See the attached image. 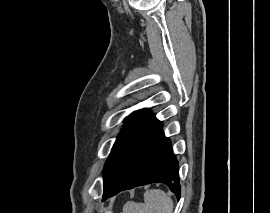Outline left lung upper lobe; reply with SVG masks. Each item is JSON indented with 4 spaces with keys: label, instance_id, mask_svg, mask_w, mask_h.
I'll return each mask as SVG.
<instances>
[{
    "label": "left lung upper lobe",
    "instance_id": "left-lung-upper-lobe-1",
    "mask_svg": "<svg viewBox=\"0 0 270 213\" xmlns=\"http://www.w3.org/2000/svg\"><path fill=\"white\" fill-rule=\"evenodd\" d=\"M151 114L146 110H139L133 112L125 119V126L121 130L119 136L114 143V146L111 150L110 156L105 163L104 176L114 162L116 156L121 151L128 139L134 134L137 128L147 119Z\"/></svg>",
    "mask_w": 270,
    "mask_h": 213
}]
</instances>
